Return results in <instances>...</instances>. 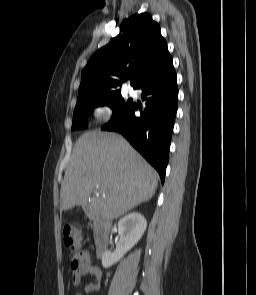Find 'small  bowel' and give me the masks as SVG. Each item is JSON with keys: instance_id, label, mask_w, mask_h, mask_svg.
I'll list each match as a JSON object with an SVG mask.
<instances>
[{"instance_id": "1", "label": "small bowel", "mask_w": 256, "mask_h": 295, "mask_svg": "<svg viewBox=\"0 0 256 295\" xmlns=\"http://www.w3.org/2000/svg\"><path fill=\"white\" fill-rule=\"evenodd\" d=\"M87 275H91L93 277V281L84 287V291L86 293L99 291L101 288L103 272L99 265L93 264L90 261L73 272L71 277V282L73 286L75 288H79L81 285V278Z\"/></svg>"}]
</instances>
